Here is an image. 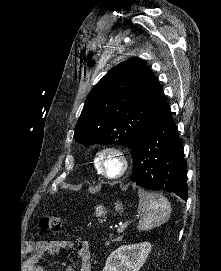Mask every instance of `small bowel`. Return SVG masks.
Segmentation results:
<instances>
[{
  "instance_id": "1",
  "label": "small bowel",
  "mask_w": 221,
  "mask_h": 271,
  "mask_svg": "<svg viewBox=\"0 0 221 271\" xmlns=\"http://www.w3.org/2000/svg\"><path fill=\"white\" fill-rule=\"evenodd\" d=\"M73 246V242L65 239L37 241L33 245L34 254L30 258L29 263L34 266V271H44L42 266H36L43 255H55L62 249L72 248ZM75 246L79 257V271H91V253L88 241L79 239L75 242ZM64 271H74V268L66 266Z\"/></svg>"
}]
</instances>
